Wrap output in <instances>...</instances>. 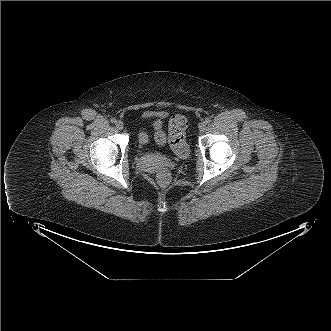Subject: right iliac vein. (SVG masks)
<instances>
[{"mask_svg": "<svg viewBox=\"0 0 331 331\" xmlns=\"http://www.w3.org/2000/svg\"><path fill=\"white\" fill-rule=\"evenodd\" d=\"M115 126L118 130H122L124 128V124L122 121H117Z\"/></svg>", "mask_w": 331, "mask_h": 331, "instance_id": "obj_1", "label": "right iliac vein"}]
</instances>
